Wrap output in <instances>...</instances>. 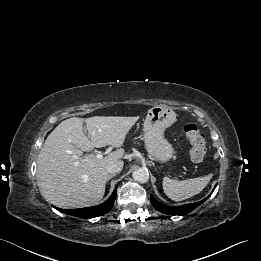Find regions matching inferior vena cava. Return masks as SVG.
Returning a JSON list of instances; mask_svg holds the SVG:
<instances>
[{
    "mask_svg": "<svg viewBox=\"0 0 261 261\" xmlns=\"http://www.w3.org/2000/svg\"><path fill=\"white\" fill-rule=\"evenodd\" d=\"M122 169H123V162L118 161L107 167V173L110 175H115V174L121 172Z\"/></svg>",
    "mask_w": 261,
    "mask_h": 261,
    "instance_id": "inferior-vena-cava-1",
    "label": "inferior vena cava"
}]
</instances>
